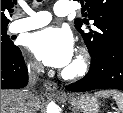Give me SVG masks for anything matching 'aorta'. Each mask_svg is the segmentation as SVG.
<instances>
[{
	"mask_svg": "<svg viewBox=\"0 0 123 113\" xmlns=\"http://www.w3.org/2000/svg\"><path fill=\"white\" fill-rule=\"evenodd\" d=\"M46 113H60L59 106L55 102H50L47 105Z\"/></svg>",
	"mask_w": 123,
	"mask_h": 113,
	"instance_id": "762f6f07",
	"label": "aorta"
}]
</instances>
